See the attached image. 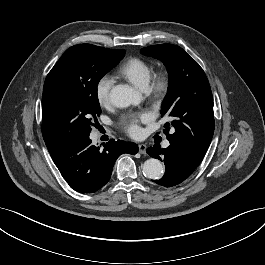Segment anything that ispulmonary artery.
I'll return each mask as SVG.
<instances>
[{
  "label": "pulmonary artery",
  "instance_id": "pulmonary-artery-1",
  "mask_svg": "<svg viewBox=\"0 0 265 265\" xmlns=\"http://www.w3.org/2000/svg\"><path fill=\"white\" fill-rule=\"evenodd\" d=\"M163 145H164V147H168L169 146V142L165 141Z\"/></svg>",
  "mask_w": 265,
  "mask_h": 265
}]
</instances>
